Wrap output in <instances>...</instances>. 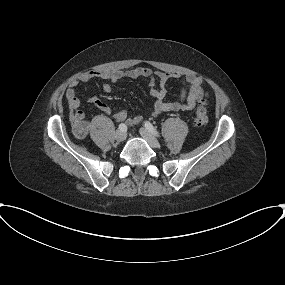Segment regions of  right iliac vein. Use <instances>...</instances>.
<instances>
[{
    "label": "right iliac vein",
    "mask_w": 285,
    "mask_h": 285,
    "mask_svg": "<svg viewBox=\"0 0 285 285\" xmlns=\"http://www.w3.org/2000/svg\"><path fill=\"white\" fill-rule=\"evenodd\" d=\"M126 136H127L126 132L120 131V130L116 131L115 134H114V138L118 142L124 141L126 139Z\"/></svg>",
    "instance_id": "obj_1"
}]
</instances>
